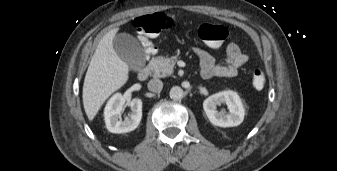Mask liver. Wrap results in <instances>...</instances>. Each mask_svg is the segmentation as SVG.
<instances>
[{"instance_id":"obj_1","label":"liver","mask_w":337,"mask_h":171,"mask_svg":"<svg viewBox=\"0 0 337 171\" xmlns=\"http://www.w3.org/2000/svg\"><path fill=\"white\" fill-rule=\"evenodd\" d=\"M118 30L114 28L103 36L86 72L82 97L90 121L106 99L128 80V64L117 55L113 45Z\"/></svg>"}]
</instances>
